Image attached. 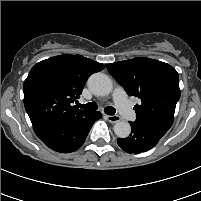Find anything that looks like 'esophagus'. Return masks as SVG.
Wrapping results in <instances>:
<instances>
[{
    "label": "esophagus",
    "instance_id": "34e87169",
    "mask_svg": "<svg viewBox=\"0 0 201 201\" xmlns=\"http://www.w3.org/2000/svg\"><path fill=\"white\" fill-rule=\"evenodd\" d=\"M105 117L110 123H117L120 121V117L118 115H106Z\"/></svg>",
    "mask_w": 201,
    "mask_h": 201
}]
</instances>
